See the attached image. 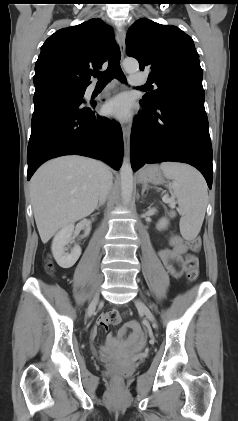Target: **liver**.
Returning a JSON list of instances; mask_svg holds the SVG:
<instances>
[{"label":"liver","instance_id":"obj_1","mask_svg":"<svg viewBox=\"0 0 238 421\" xmlns=\"http://www.w3.org/2000/svg\"><path fill=\"white\" fill-rule=\"evenodd\" d=\"M98 162L64 156L43 164L30 181L33 213L42 242L90 215L98 203Z\"/></svg>","mask_w":238,"mask_h":421}]
</instances>
